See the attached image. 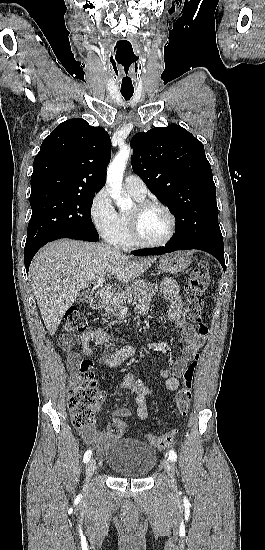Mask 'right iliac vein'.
<instances>
[{"label":"right iliac vein","mask_w":265,"mask_h":550,"mask_svg":"<svg viewBox=\"0 0 265 550\" xmlns=\"http://www.w3.org/2000/svg\"><path fill=\"white\" fill-rule=\"evenodd\" d=\"M96 469H97L96 461L94 459H91L88 462L87 469H86L87 477L91 478L94 472L96 471Z\"/></svg>","instance_id":"1"}]
</instances>
